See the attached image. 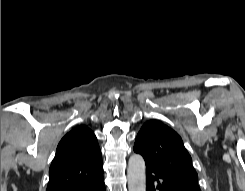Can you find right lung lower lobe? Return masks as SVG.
Returning a JSON list of instances; mask_svg holds the SVG:
<instances>
[{"label": "right lung lower lobe", "mask_w": 245, "mask_h": 191, "mask_svg": "<svg viewBox=\"0 0 245 191\" xmlns=\"http://www.w3.org/2000/svg\"><path fill=\"white\" fill-rule=\"evenodd\" d=\"M66 191H106L103 173L68 188Z\"/></svg>", "instance_id": "1"}]
</instances>
